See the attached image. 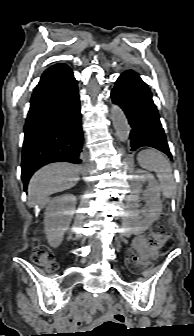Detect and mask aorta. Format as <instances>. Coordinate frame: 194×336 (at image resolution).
I'll return each instance as SVG.
<instances>
[{
    "label": "aorta",
    "instance_id": "762f6f07",
    "mask_svg": "<svg viewBox=\"0 0 194 336\" xmlns=\"http://www.w3.org/2000/svg\"><path fill=\"white\" fill-rule=\"evenodd\" d=\"M111 120L118 139L122 142H126L129 139L130 125L120 106L115 104L112 105Z\"/></svg>",
    "mask_w": 194,
    "mask_h": 336
}]
</instances>
